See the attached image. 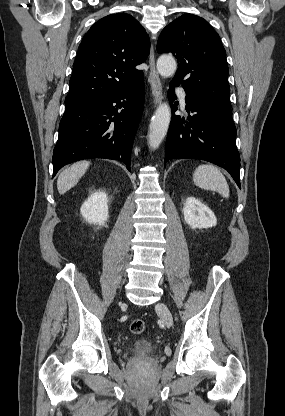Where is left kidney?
Instances as JSON below:
<instances>
[{
    "instance_id": "1",
    "label": "left kidney",
    "mask_w": 285,
    "mask_h": 416,
    "mask_svg": "<svg viewBox=\"0 0 285 416\" xmlns=\"http://www.w3.org/2000/svg\"><path fill=\"white\" fill-rule=\"evenodd\" d=\"M183 214L186 224L191 228H213L217 224L214 212L196 198H187Z\"/></svg>"
}]
</instances>
